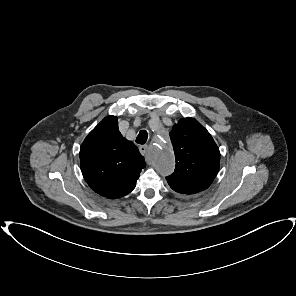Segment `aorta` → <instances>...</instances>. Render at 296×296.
Here are the masks:
<instances>
[{
    "label": "aorta",
    "mask_w": 296,
    "mask_h": 296,
    "mask_svg": "<svg viewBox=\"0 0 296 296\" xmlns=\"http://www.w3.org/2000/svg\"><path fill=\"white\" fill-rule=\"evenodd\" d=\"M152 158L156 169L162 175L173 172L175 160L169 150L167 135L162 130L154 141Z\"/></svg>",
    "instance_id": "aorta-1"
}]
</instances>
